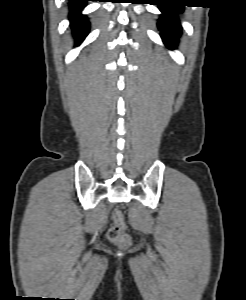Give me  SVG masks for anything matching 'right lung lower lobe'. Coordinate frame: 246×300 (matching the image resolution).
<instances>
[{"label": "right lung lower lobe", "instance_id": "1", "mask_svg": "<svg viewBox=\"0 0 246 300\" xmlns=\"http://www.w3.org/2000/svg\"><path fill=\"white\" fill-rule=\"evenodd\" d=\"M87 1L96 0H70V20L74 34L77 36L76 45H78L89 31V22L86 17L80 14Z\"/></svg>", "mask_w": 246, "mask_h": 300}]
</instances>
